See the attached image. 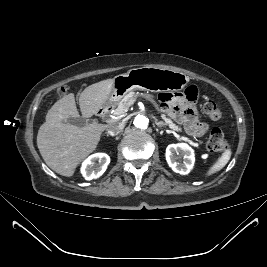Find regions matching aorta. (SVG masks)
Masks as SVG:
<instances>
[{
	"instance_id": "762f6f07",
	"label": "aorta",
	"mask_w": 267,
	"mask_h": 267,
	"mask_svg": "<svg viewBox=\"0 0 267 267\" xmlns=\"http://www.w3.org/2000/svg\"><path fill=\"white\" fill-rule=\"evenodd\" d=\"M133 124L137 129H146L149 125V119L143 114H138L135 116Z\"/></svg>"
}]
</instances>
